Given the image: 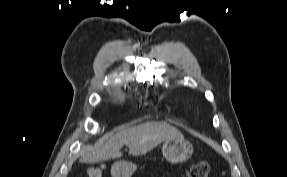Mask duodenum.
<instances>
[{"mask_svg": "<svg viewBox=\"0 0 287 177\" xmlns=\"http://www.w3.org/2000/svg\"><path fill=\"white\" fill-rule=\"evenodd\" d=\"M120 173H123V174H124V172H123V171H120Z\"/></svg>", "mask_w": 287, "mask_h": 177, "instance_id": "duodenum-1", "label": "duodenum"}]
</instances>
